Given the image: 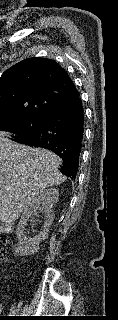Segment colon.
Instances as JSON below:
<instances>
[{
	"instance_id": "colon-1",
	"label": "colon",
	"mask_w": 118,
	"mask_h": 320,
	"mask_svg": "<svg viewBox=\"0 0 118 320\" xmlns=\"http://www.w3.org/2000/svg\"><path fill=\"white\" fill-rule=\"evenodd\" d=\"M11 244V240L7 236H0V259L3 258Z\"/></svg>"
}]
</instances>
